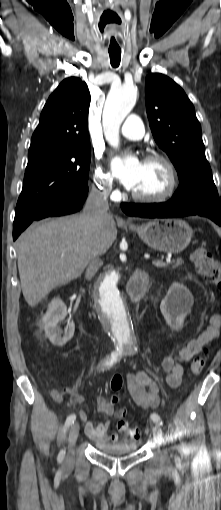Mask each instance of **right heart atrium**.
<instances>
[{
  "mask_svg": "<svg viewBox=\"0 0 221 510\" xmlns=\"http://www.w3.org/2000/svg\"><path fill=\"white\" fill-rule=\"evenodd\" d=\"M93 186L104 196H111L114 193V179L101 163H97L93 173Z\"/></svg>",
  "mask_w": 221,
  "mask_h": 510,
  "instance_id": "obj_1",
  "label": "right heart atrium"
}]
</instances>
